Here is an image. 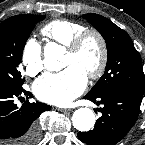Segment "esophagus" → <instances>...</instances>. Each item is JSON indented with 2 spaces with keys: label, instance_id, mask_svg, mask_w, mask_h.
<instances>
[{
  "label": "esophagus",
  "instance_id": "34e87169",
  "mask_svg": "<svg viewBox=\"0 0 145 145\" xmlns=\"http://www.w3.org/2000/svg\"><path fill=\"white\" fill-rule=\"evenodd\" d=\"M58 111H60V112H69V111H71V109H58Z\"/></svg>",
  "mask_w": 145,
  "mask_h": 145
}]
</instances>
